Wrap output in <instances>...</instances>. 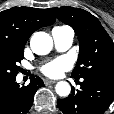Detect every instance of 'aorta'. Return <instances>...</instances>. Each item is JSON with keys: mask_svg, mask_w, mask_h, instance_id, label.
I'll return each instance as SVG.
<instances>
[{"mask_svg": "<svg viewBox=\"0 0 114 114\" xmlns=\"http://www.w3.org/2000/svg\"><path fill=\"white\" fill-rule=\"evenodd\" d=\"M32 51L38 55L48 54L53 47L52 37L45 32H36L30 41ZM56 93L61 97H66L70 94L71 87L68 82L60 81L55 86Z\"/></svg>", "mask_w": 114, "mask_h": 114, "instance_id": "obj_1", "label": "aorta"}]
</instances>
